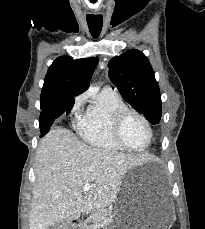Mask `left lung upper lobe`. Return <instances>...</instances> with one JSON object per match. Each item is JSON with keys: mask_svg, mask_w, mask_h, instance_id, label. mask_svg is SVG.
Returning <instances> with one entry per match:
<instances>
[{"mask_svg": "<svg viewBox=\"0 0 205 229\" xmlns=\"http://www.w3.org/2000/svg\"><path fill=\"white\" fill-rule=\"evenodd\" d=\"M108 67L109 78L123 99L151 124H158L162 114L160 91L147 57L132 49L113 57Z\"/></svg>", "mask_w": 205, "mask_h": 229, "instance_id": "obj_1", "label": "left lung upper lobe"}]
</instances>
